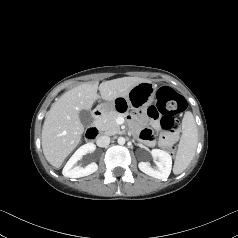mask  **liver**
<instances>
[{
  "label": "liver",
  "instance_id": "6515ba94",
  "mask_svg": "<svg viewBox=\"0 0 238 238\" xmlns=\"http://www.w3.org/2000/svg\"><path fill=\"white\" fill-rule=\"evenodd\" d=\"M142 82L150 81L123 77L104 81L100 85L98 82L84 83L64 93L51 105L42 127V149L46 160L59 168L79 144L84 132L79 112L92 108L100 98L98 90L103 100L114 101L119 97H126L134 86Z\"/></svg>",
  "mask_w": 238,
  "mask_h": 238
}]
</instances>
